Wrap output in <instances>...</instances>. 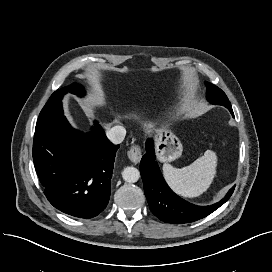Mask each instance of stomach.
I'll return each mask as SVG.
<instances>
[{
	"label": "stomach",
	"mask_w": 272,
	"mask_h": 272,
	"mask_svg": "<svg viewBox=\"0 0 272 272\" xmlns=\"http://www.w3.org/2000/svg\"><path fill=\"white\" fill-rule=\"evenodd\" d=\"M156 154L161 162H171L182 155L183 146L179 138L167 127L155 131Z\"/></svg>",
	"instance_id": "1"
}]
</instances>
